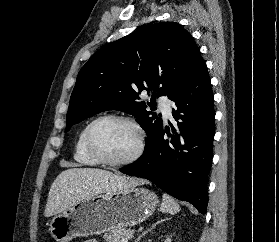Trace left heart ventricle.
<instances>
[{"instance_id":"1","label":"left heart ventricle","mask_w":279,"mask_h":242,"mask_svg":"<svg viewBox=\"0 0 279 242\" xmlns=\"http://www.w3.org/2000/svg\"><path fill=\"white\" fill-rule=\"evenodd\" d=\"M95 142L100 152L111 160H121L130 156L136 148L137 135L128 124L105 121L95 130Z\"/></svg>"}]
</instances>
